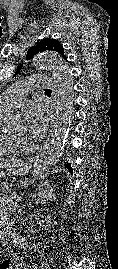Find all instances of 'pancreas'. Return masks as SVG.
<instances>
[{
    "instance_id": "obj_1",
    "label": "pancreas",
    "mask_w": 118,
    "mask_h": 269,
    "mask_svg": "<svg viewBox=\"0 0 118 269\" xmlns=\"http://www.w3.org/2000/svg\"><path fill=\"white\" fill-rule=\"evenodd\" d=\"M17 182H6L5 187L2 188L3 192H15L17 189Z\"/></svg>"
}]
</instances>
